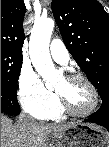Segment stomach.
I'll list each match as a JSON object with an SVG mask.
<instances>
[{"label": "stomach", "mask_w": 109, "mask_h": 147, "mask_svg": "<svg viewBox=\"0 0 109 147\" xmlns=\"http://www.w3.org/2000/svg\"><path fill=\"white\" fill-rule=\"evenodd\" d=\"M53 137L59 147H109V133L90 124H74Z\"/></svg>", "instance_id": "stomach-1"}]
</instances>
